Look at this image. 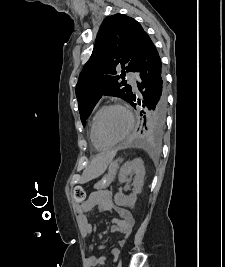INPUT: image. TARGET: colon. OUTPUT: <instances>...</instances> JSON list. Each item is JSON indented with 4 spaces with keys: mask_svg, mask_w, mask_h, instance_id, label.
<instances>
[{
    "mask_svg": "<svg viewBox=\"0 0 225 267\" xmlns=\"http://www.w3.org/2000/svg\"><path fill=\"white\" fill-rule=\"evenodd\" d=\"M85 199V191L83 189V187L81 186H76L73 189V200L77 203V204H81Z\"/></svg>",
    "mask_w": 225,
    "mask_h": 267,
    "instance_id": "obj_1",
    "label": "colon"
}]
</instances>
